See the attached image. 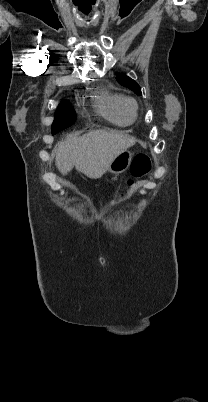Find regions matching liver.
<instances>
[{"label":"liver","mask_w":208,"mask_h":402,"mask_svg":"<svg viewBox=\"0 0 208 402\" xmlns=\"http://www.w3.org/2000/svg\"><path fill=\"white\" fill-rule=\"evenodd\" d=\"M136 144V138L124 132H104L94 130L84 136L69 134L64 142H59L53 150L56 166L66 176L74 166L87 178H101L106 174L111 162L121 152Z\"/></svg>","instance_id":"obj_1"}]
</instances>
